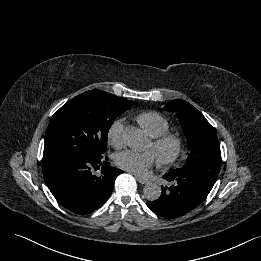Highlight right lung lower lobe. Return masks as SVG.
I'll return each instance as SVG.
<instances>
[{"label": "right lung lower lobe", "mask_w": 261, "mask_h": 261, "mask_svg": "<svg viewBox=\"0 0 261 261\" xmlns=\"http://www.w3.org/2000/svg\"><path fill=\"white\" fill-rule=\"evenodd\" d=\"M106 161L102 154L50 156L42 160L43 176L49 190L64 208L85 215L107 201L116 177L123 173ZM100 167L101 176L97 177L93 169Z\"/></svg>", "instance_id": "obj_1"}]
</instances>
